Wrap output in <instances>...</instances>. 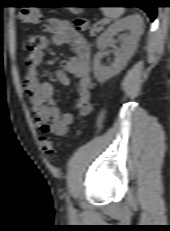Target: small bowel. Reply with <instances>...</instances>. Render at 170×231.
Wrapping results in <instances>:
<instances>
[{"label": "small bowel", "instance_id": "obj_1", "mask_svg": "<svg viewBox=\"0 0 170 231\" xmlns=\"http://www.w3.org/2000/svg\"><path fill=\"white\" fill-rule=\"evenodd\" d=\"M44 28L52 35L55 45H69L74 52V56L63 63V69L57 71L55 76L63 85L71 83L70 77L78 80L76 108L81 116L89 115L93 109L94 84L90 73L91 51L86 39L68 21L52 18ZM28 42H33L35 46L26 61L24 88L31 99L35 126L44 133L64 136L73 123L74 116L70 112H60L53 99L52 84L40 80L38 76L49 41L44 36H32L25 40V44Z\"/></svg>", "mask_w": 170, "mask_h": 231}]
</instances>
